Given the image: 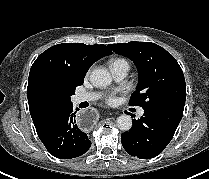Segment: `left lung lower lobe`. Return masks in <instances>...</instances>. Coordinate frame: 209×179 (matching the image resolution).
Listing matches in <instances>:
<instances>
[{
    "mask_svg": "<svg viewBox=\"0 0 209 179\" xmlns=\"http://www.w3.org/2000/svg\"><path fill=\"white\" fill-rule=\"evenodd\" d=\"M184 107L157 106L144 108V116L133 120V127L121 134L123 148L140 159L160 154L173 138L182 119Z\"/></svg>",
    "mask_w": 209,
    "mask_h": 179,
    "instance_id": "1",
    "label": "left lung lower lobe"
}]
</instances>
